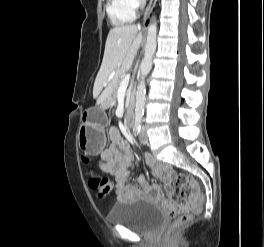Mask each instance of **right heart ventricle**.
Returning <instances> with one entry per match:
<instances>
[{
    "label": "right heart ventricle",
    "mask_w": 264,
    "mask_h": 247,
    "mask_svg": "<svg viewBox=\"0 0 264 247\" xmlns=\"http://www.w3.org/2000/svg\"><path fill=\"white\" fill-rule=\"evenodd\" d=\"M107 11L111 21L116 25L131 22L135 15L125 8L121 0H110Z\"/></svg>",
    "instance_id": "right-heart-ventricle-1"
}]
</instances>
